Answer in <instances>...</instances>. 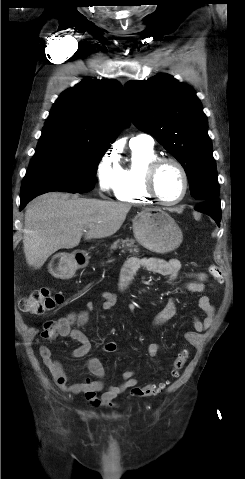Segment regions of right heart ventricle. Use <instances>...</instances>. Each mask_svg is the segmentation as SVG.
<instances>
[{
    "label": "right heart ventricle",
    "mask_w": 245,
    "mask_h": 479,
    "mask_svg": "<svg viewBox=\"0 0 245 479\" xmlns=\"http://www.w3.org/2000/svg\"><path fill=\"white\" fill-rule=\"evenodd\" d=\"M157 158L153 147L130 143V158L126 166L120 167L115 196L127 203H152L154 199L145 189V171L149 163Z\"/></svg>",
    "instance_id": "1"
}]
</instances>
